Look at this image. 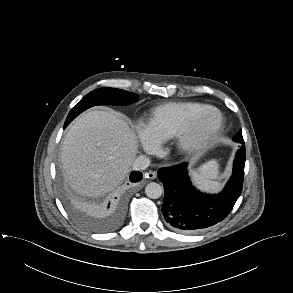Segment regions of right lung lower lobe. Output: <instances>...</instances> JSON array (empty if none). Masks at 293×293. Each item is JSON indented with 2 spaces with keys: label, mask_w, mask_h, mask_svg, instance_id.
Here are the masks:
<instances>
[{
  "label": "right lung lower lobe",
  "mask_w": 293,
  "mask_h": 293,
  "mask_svg": "<svg viewBox=\"0 0 293 293\" xmlns=\"http://www.w3.org/2000/svg\"><path fill=\"white\" fill-rule=\"evenodd\" d=\"M142 179V173L138 171H134L130 175V181L131 182H138ZM123 203L122 200L117 199H111L107 200L103 204H101L98 209L107 212V213H112L115 217H121L123 214Z\"/></svg>",
  "instance_id": "98d812e1"
}]
</instances>
